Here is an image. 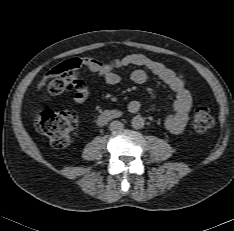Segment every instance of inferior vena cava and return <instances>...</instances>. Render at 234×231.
<instances>
[{
    "instance_id": "inferior-vena-cava-1",
    "label": "inferior vena cava",
    "mask_w": 234,
    "mask_h": 231,
    "mask_svg": "<svg viewBox=\"0 0 234 231\" xmlns=\"http://www.w3.org/2000/svg\"><path fill=\"white\" fill-rule=\"evenodd\" d=\"M124 127V124L120 121H112L109 125V129L111 131H119L122 130Z\"/></svg>"
}]
</instances>
